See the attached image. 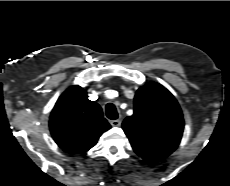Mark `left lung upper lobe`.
<instances>
[{
  "instance_id": "1",
  "label": "left lung upper lobe",
  "mask_w": 230,
  "mask_h": 186,
  "mask_svg": "<svg viewBox=\"0 0 230 186\" xmlns=\"http://www.w3.org/2000/svg\"><path fill=\"white\" fill-rule=\"evenodd\" d=\"M122 127L134 151L152 162L177 148L184 120L174 96L162 85L152 82L139 88L134 99V114L124 120Z\"/></svg>"
}]
</instances>
